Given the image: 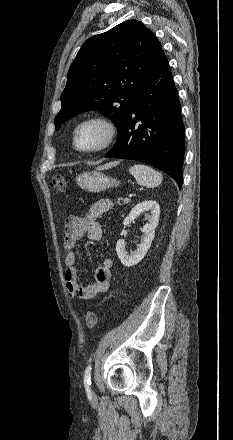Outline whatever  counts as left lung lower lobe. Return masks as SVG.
Here are the masks:
<instances>
[{
    "label": "left lung lower lobe",
    "mask_w": 233,
    "mask_h": 440,
    "mask_svg": "<svg viewBox=\"0 0 233 440\" xmlns=\"http://www.w3.org/2000/svg\"><path fill=\"white\" fill-rule=\"evenodd\" d=\"M141 121L142 124L136 123ZM185 126L181 105L164 53L137 90L117 142L105 157L152 165L182 186Z\"/></svg>",
    "instance_id": "1"
}]
</instances>
